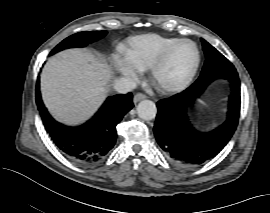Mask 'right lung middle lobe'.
Masks as SVG:
<instances>
[{"instance_id":"1","label":"right lung middle lobe","mask_w":270,"mask_h":213,"mask_svg":"<svg viewBox=\"0 0 270 213\" xmlns=\"http://www.w3.org/2000/svg\"><path fill=\"white\" fill-rule=\"evenodd\" d=\"M107 34L106 31H90V32H79L70 37L64 39L60 44H58L50 54H54L66 48L72 47H84L89 43L99 40Z\"/></svg>"}]
</instances>
